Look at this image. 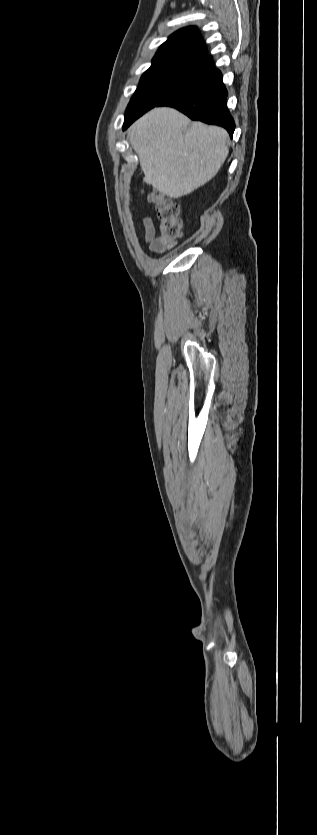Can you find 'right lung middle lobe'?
Masks as SVG:
<instances>
[{
    "instance_id": "dd1d6c3e",
    "label": "right lung middle lobe",
    "mask_w": 317,
    "mask_h": 835,
    "mask_svg": "<svg viewBox=\"0 0 317 835\" xmlns=\"http://www.w3.org/2000/svg\"><path fill=\"white\" fill-rule=\"evenodd\" d=\"M206 81L191 60L149 68L141 77L126 113L123 129L155 106Z\"/></svg>"
}]
</instances>
